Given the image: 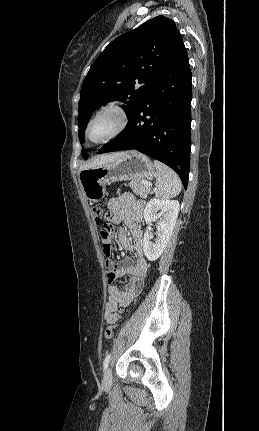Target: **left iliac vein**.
Instances as JSON below:
<instances>
[{
    "mask_svg": "<svg viewBox=\"0 0 259 431\" xmlns=\"http://www.w3.org/2000/svg\"><path fill=\"white\" fill-rule=\"evenodd\" d=\"M111 381H112V371L110 368H107L104 373L103 384L110 385Z\"/></svg>",
    "mask_w": 259,
    "mask_h": 431,
    "instance_id": "left-iliac-vein-1",
    "label": "left iliac vein"
}]
</instances>
